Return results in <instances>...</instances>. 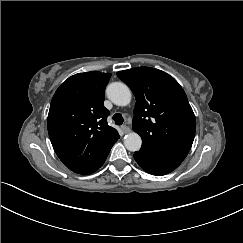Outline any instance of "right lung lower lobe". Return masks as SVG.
I'll use <instances>...</instances> for the list:
<instances>
[{"instance_id":"right-lung-lower-lobe-1","label":"right lung lower lobe","mask_w":243,"mask_h":243,"mask_svg":"<svg viewBox=\"0 0 243 243\" xmlns=\"http://www.w3.org/2000/svg\"><path fill=\"white\" fill-rule=\"evenodd\" d=\"M106 157H104L100 162H98L91 170H89V171H87L85 173H82V174L83 175H88V174H91V173L95 172L97 169H99L103 165V163L106 160Z\"/></svg>"}]
</instances>
